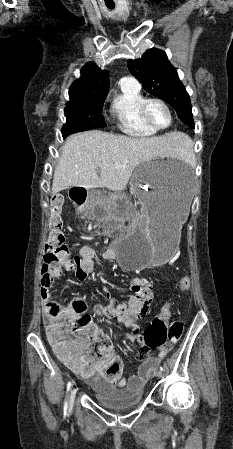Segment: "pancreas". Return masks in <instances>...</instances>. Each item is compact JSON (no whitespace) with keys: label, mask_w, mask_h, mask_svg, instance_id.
Returning a JSON list of instances; mask_svg holds the SVG:
<instances>
[{"label":"pancreas","mask_w":233,"mask_h":449,"mask_svg":"<svg viewBox=\"0 0 233 449\" xmlns=\"http://www.w3.org/2000/svg\"><path fill=\"white\" fill-rule=\"evenodd\" d=\"M138 218H139V215H136L135 219H138Z\"/></svg>","instance_id":"1"}]
</instances>
